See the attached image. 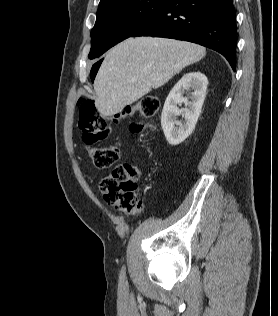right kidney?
Returning <instances> with one entry per match:
<instances>
[{"instance_id":"ca27d5eb","label":"right kidney","mask_w":278,"mask_h":316,"mask_svg":"<svg viewBox=\"0 0 278 316\" xmlns=\"http://www.w3.org/2000/svg\"><path fill=\"white\" fill-rule=\"evenodd\" d=\"M208 85L207 77L197 71L185 74L170 91L161 115V125L166 140L171 145L182 143L194 130L205 99ZM192 89L191 101L184 97L185 91ZM185 103L186 108L179 110L177 104ZM184 114L185 122L176 120ZM177 125V126H176Z\"/></svg>"}]
</instances>
